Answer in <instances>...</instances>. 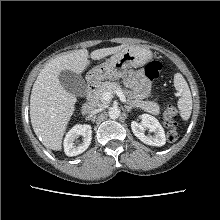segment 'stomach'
<instances>
[{
	"label": "stomach",
	"mask_w": 220,
	"mask_h": 220,
	"mask_svg": "<svg viewBox=\"0 0 220 220\" xmlns=\"http://www.w3.org/2000/svg\"><path fill=\"white\" fill-rule=\"evenodd\" d=\"M152 58V52L140 46H126L113 54L106 62L97 65L87 73V81L97 87L104 80H119L128 68L141 67Z\"/></svg>",
	"instance_id": "1"
}]
</instances>
